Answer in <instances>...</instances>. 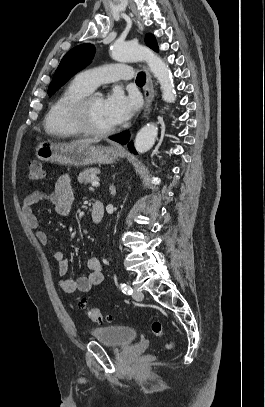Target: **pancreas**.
I'll return each instance as SVG.
<instances>
[{
	"instance_id": "1",
	"label": "pancreas",
	"mask_w": 265,
	"mask_h": 407,
	"mask_svg": "<svg viewBox=\"0 0 265 407\" xmlns=\"http://www.w3.org/2000/svg\"><path fill=\"white\" fill-rule=\"evenodd\" d=\"M100 172L98 168H89L85 169L84 171L80 172L78 176V182L79 183H90L93 182L94 180H97L96 175Z\"/></svg>"
}]
</instances>
